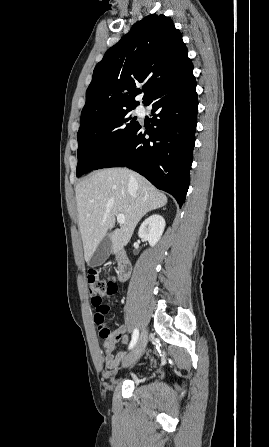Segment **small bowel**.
Listing matches in <instances>:
<instances>
[{
	"label": "small bowel",
	"mask_w": 269,
	"mask_h": 447,
	"mask_svg": "<svg viewBox=\"0 0 269 447\" xmlns=\"http://www.w3.org/2000/svg\"><path fill=\"white\" fill-rule=\"evenodd\" d=\"M127 327L124 324H118L112 331L111 340L104 343L105 357L104 363L108 369H114L119 365L121 359L125 357L124 353L114 355L112 350L115 341H121L124 344L130 342V337L127 335Z\"/></svg>",
	"instance_id": "obj_1"
}]
</instances>
